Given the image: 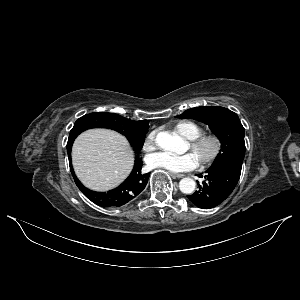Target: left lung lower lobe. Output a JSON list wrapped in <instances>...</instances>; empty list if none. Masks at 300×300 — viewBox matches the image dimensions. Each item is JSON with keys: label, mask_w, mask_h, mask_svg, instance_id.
<instances>
[{"label": "left lung lower lobe", "mask_w": 300, "mask_h": 300, "mask_svg": "<svg viewBox=\"0 0 300 300\" xmlns=\"http://www.w3.org/2000/svg\"><path fill=\"white\" fill-rule=\"evenodd\" d=\"M242 164L234 161H224L211 166L206 172L199 190L188 196L195 206L211 209L221 204L234 190L241 174ZM203 177V175H201Z\"/></svg>", "instance_id": "left-lung-lower-lobe-1"}]
</instances>
